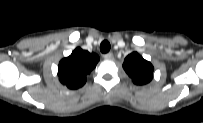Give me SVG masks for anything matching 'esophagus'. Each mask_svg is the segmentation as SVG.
<instances>
[{
    "label": "esophagus",
    "mask_w": 203,
    "mask_h": 123,
    "mask_svg": "<svg viewBox=\"0 0 203 123\" xmlns=\"http://www.w3.org/2000/svg\"><path fill=\"white\" fill-rule=\"evenodd\" d=\"M103 58L105 60H111V59H113V54L111 52L106 53V54L103 55Z\"/></svg>",
    "instance_id": "obj_1"
}]
</instances>
